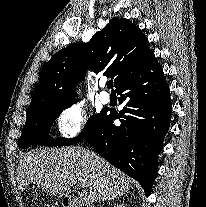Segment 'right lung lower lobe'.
<instances>
[{"instance_id": "right-lung-lower-lobe-1", "label": "right lung lower lobe", "mask_w": 206, "mask_h": 207, "mask_svg": "<svg viewBox=\"0 0 206 207\" xmlns=\"http://www.w3.org/2000/svg\"><path fill=\"white\" fill-rule=\"evenodd\" d=\"M116 91L121 95L120 103H125L123 110L106 113L83 140L112 165L136 179L148 196L172 110L170 90L156 57L152 56ZM115 119L120 120V126L113 124Z\"/></svg>"}]
</instances>
